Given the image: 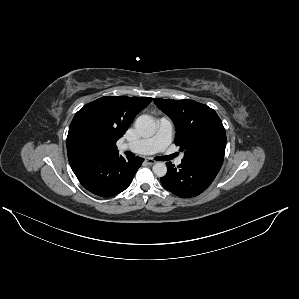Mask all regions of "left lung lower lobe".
<instances>
[{"label":"left lung lower lobe","instance_id":"left-lung-lower-lobe-1","mask_svg":"<svg viewBox=\"0 0 299 299\" xmlns=\"http://www.w3.org/2000/svg\"><path fill=\"white\" fill-rule=\"evenodd\" d=\"M223 163V158L198 156L182 159L178 168L168 162L167 174L161 183L171 193L184 197H195L206 190L215 179Z\"/></svg>","mask_w":299,"mask_h":299}]
</instances>
